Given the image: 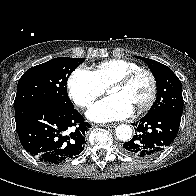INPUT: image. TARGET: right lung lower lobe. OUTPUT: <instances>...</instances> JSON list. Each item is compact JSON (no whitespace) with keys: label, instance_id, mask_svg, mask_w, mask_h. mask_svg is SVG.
Segmentation results:
<instances>
[{"label":"right lung lower lobe","instance_id":"right-lung-lower-lobe-1","mask_svg":"<svg viewBox=\"0 0 196 196\" xmlns=\"http://www.w3.org/2000/svg\"><path fill=\"white\" fill-rule=\"evenodd\" d=\"M16 130L24 149L40 161L60 164L79 155L91 127L74 108L40 101L15 111Z\"/></svg>","mask_w":196,"mask_h":196}]
</instances>
